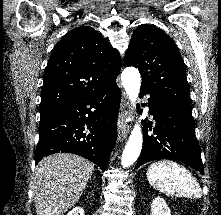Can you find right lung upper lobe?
<instances>
[{
	"mask_svg": "<svg viewBox=\"0 0 221 215\" xmlns=\"http://www.w3.org/2000/svg\"><path fill=\"white\" fill-rule=\"evenodd\" d=\"M116 49L92 27L68 32L55 46L44 73L40 112L61 108L107 87L120 72Z\"/></svg>",
	"mask_w": 221,
	"mask_h": 215,
	"instance_id": "1",
	"label": "right lung upper lobe"
}]
</instances>
